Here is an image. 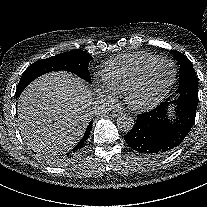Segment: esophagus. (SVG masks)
Here are the masks:
<instances>
[{"label":"esophagus","instance_id":"esophagus-1","mask_svg":"<svg viewBox=\"0 0 207 207\" xmlns=\"http://www.w3.org/2000/svg\"><path fill=\"white\" fill-rule=\"evenodd\" d=\"M123 114V111L121 109H114L112 112H111V116L112 117H118L120 115Z\"/></svg>","mask_w":207,"mask_h":207}]
</instances>
